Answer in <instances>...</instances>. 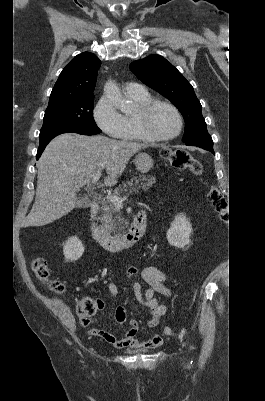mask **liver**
<instances>
[{
  "instance_id": "obj_1",
  "label": "liver",
  "mask_w": 265,
  "mask_h": 401,
  "mask_svg": "<svg viewBox=\"0 0 265 401\" xmlns=\"http://www.w3.org/2000/svg\"><path fill=\"white\" fill-rule=\"evenodd\" d=\"M146 146L144 142L116 140L100 134H59L47 144L38 160L35 203L24 219V227H43L71 213L78 205L77 190L90 184L103 168L107 172L104 184L114 186L129 158Z\"/></svg>"
}]
</instances>
